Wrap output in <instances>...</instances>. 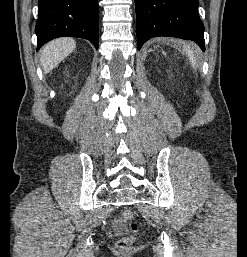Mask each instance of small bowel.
I'll list each match as a JSON object with an SVG mask.
<instances>
[{"mask_svg":"<svg viewBox=\"0 0 247 257\" xmlns=\"http://www.w3.org/2000/svg\"><path fill=\"white\" fill-rule=\"evenodd\" d=\"M113 227H114L115 232H117V233H122L125 230L123 222L120 218H115L114 219Z\"/></svg>","mask_w":247,"mask_h":257,"instance_id":"obj_1","label":"small bowel"}]
</instances>
